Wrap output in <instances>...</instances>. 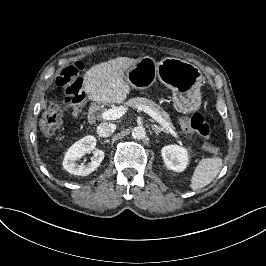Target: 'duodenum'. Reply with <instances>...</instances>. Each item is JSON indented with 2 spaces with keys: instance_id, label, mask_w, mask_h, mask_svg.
<instances>
[{
  "instance_id": "1",
  "label": "duodenum",
  "mask_w": 266,
  "mask_h": 266,
  "mask_svg": "<svg viewBox=\"0 0 266 266\" xmlns=\"http://www.w3.org/2000/svg\"><path fill=\"white\" fill-rule=\"evenodd\" d=\"M98 116V112H97V109L96 108H92L91 111H90V117L92 120L96 119Z\"/></svg>"
}]
</instances>
